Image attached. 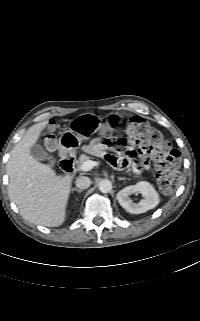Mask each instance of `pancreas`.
<instances>
[{
	"label": "pancreas",
	"instance_id": "cf45deb5",
	"mask_svg": "<svg viewBox=\"0 0 200 321\" xmlns=\"http://www.w3.org/2000/svg\"><path fill=\"white\" fill-rule=\"evenodd\" d=\"M90 158H91V157H89V156H87V155H85V154H82V155L79 157L78 161H77L78 167L80 168V166L82 165V163H84L85 161L90 160Z\"/></svg>",
	"mask_w": 200,
	"mask_h": 321
}]
</instances>
